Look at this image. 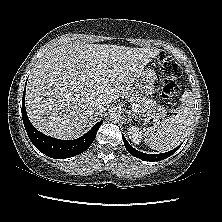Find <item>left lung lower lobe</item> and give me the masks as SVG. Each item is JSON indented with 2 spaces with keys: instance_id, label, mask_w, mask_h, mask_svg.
Returning a JSON list of instances; mask_svg holds the SVG:
<instances>
[{
  "instance_id": "left-lung-lower-lobe-1",
  "label": "left lung lower lobe",
  "mask_w": 222,
  "mask_h": 222,
  "mask_svg": "<svg viewBox=\"0 0 222 222\" xmlns=\"http://www.w3.org/2000/svg\"><path fill=\"white\" fill-rule=\"evenodd\" d=\"M123 141H124V145L126 147V149L129 151V153H131L134 157H137L139 159L145 160V161H160L163 160L169 156H171L174 152L177 151V149L181 146H178L177 148L166 152V153H161V154H146V153H142L140 151H137L136 149H134L125 139V137L123 136Z\"/></svg>"
}]
</instances>
